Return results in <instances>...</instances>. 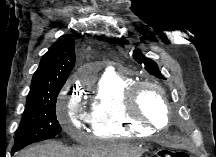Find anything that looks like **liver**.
Listing matches in <instances>:
<instances>
[{
  "instance_id": "1",
  "label": "liver",
  "mask_w": 216,
  "mask_h": 157,
  "mask_svg": "<svg viewBox=\"0 0 216 157\" xmlns=\"http://www.w3.org/2000/svg\"><path fill=\"white\" fill-rule=\"evenodd\" d=\"M144 149L128 144L98 142L90 147H65L56 142L23 150L18 157H140Z\"/></svg>"
}]
</instances>
